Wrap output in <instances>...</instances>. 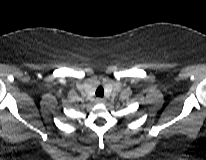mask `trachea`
<instances>
[{
  "label": "trachea",
  "instance_id": "3493384b",
  "mask_svg": "<svg viewBox=\"0 0 206 160\" xmlns=\"http://www.w3.org/2000/svg\"><path fill=\"white\" fill-rule=\"evenodd\" d=\"M104 95V89L102 86H99L97 89H96V96L97 97H103Z\"/></svg>",
  "mask_w": 206,
  "mask_h": 160
}]
</instances>
